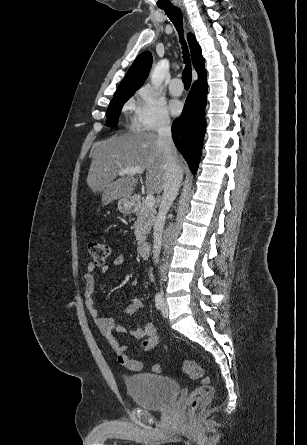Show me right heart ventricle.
<instances>
[{"label":"right heart ventricle","mask_w":307,"mask_h":445,"mask_svg":"<svg viewBox=\"0 0 307 445\" xmlns=\"http://www.w3.org/2000/svg\"><path fill=\"white\" fill-rule=\"evenodd\" d=\"M127 104L137 107L136 101L133 98L128 99Z\"/></svg>","instance_id":"e07e8e85"}]
</instances>
